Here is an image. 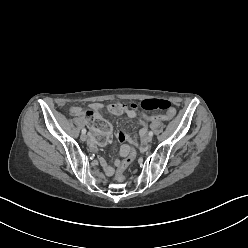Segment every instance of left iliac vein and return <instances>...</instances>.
Segmentation results:
<instances>
[{"label":"left iliac vein","instance_id":"4c4485c4","mask_svg":"<svg viewBox=\"0 0 248 248\" xmlns=\"http://www.w3.org/2000/svg\"><path fill=\"white\" fill-rule=\"evenodd\" d=\"M145 140L146 142L150 143L152 141V136L148 135Z\"/></svg>","mask_w":248,"mask_h":248}]
</instances>
